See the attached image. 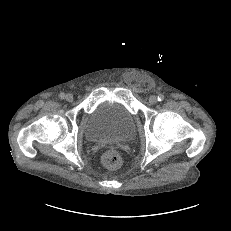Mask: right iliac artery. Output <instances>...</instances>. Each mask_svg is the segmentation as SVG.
<instances>
[{"instance_id": "1", "label": "right iliac artery", "mask_w": 231, "mask_h": 231, "mask_svg": "<svg viewBox=\"0 0 231 231\" xmlns=\"http://www.w3.org/2000/svg\"><path fill=\"white\" fill-rule=\"evenodd\" d=\"M59 97H60L61 99H64V98H65V94H64V93H60Z\"/></svg>"}]
</instances>
